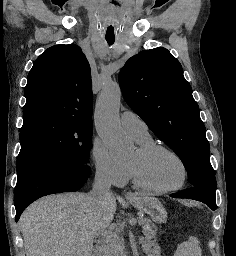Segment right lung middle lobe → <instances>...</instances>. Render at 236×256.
I'll list each match as a JSON object with an SVG mask.
<instances>
[{
	"mask_svg": "<svg viewBox=\"0 0 236 256\" xmlns=\"http://www.w3.org/2000/svg\"><path fill=\"white\" fill-rule=\"evenodd\" d=\"M92 122L39 116L23 121L17 178L49 165H91Z\"/></svg>",
	"mask_w": 236,
	"mask_h": 256,
	"instance_id": "1",
	"label": "right lung middle lobe"
}]
</instances>
